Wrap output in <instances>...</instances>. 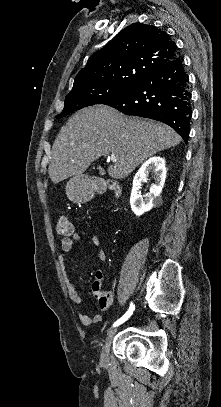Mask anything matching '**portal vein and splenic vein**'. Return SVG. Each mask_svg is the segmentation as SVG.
I'll use <instances>...</instances> for the list:
<instances>
[{"label":"portal vein and splenic vein","instance_id":"1","mask_svg":"<svg viewBox=\"0 0 221 407\" xmlns=\"http://www.w3.org/2000/svg\"><path fill=\"white\" fill-rule=\"evenodd\" d=\"M109 159H110L111 161H113V162H116V157H115L114 154H111V155L109 156Z\"/></svg>","mask_w":221,"mask_h":407}]
</instances>
